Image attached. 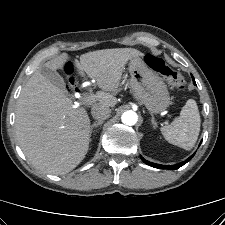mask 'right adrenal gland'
Instances as JSON below:
<instances>
[{"label": "right adrenal gland", "mask_w": 225, "mask_h": 225, "mask_svg": "<svg viewBox=\"0 0 225 225\" xmlns=\"http://www.w3.org/2000/svg\"><path fill=\"white\" fill-rule=\"evenodd\" d=\"M103 123V120H99V121H96L94 122L91 126H90V136L92 134V131L94 128H97L98 126L102 125Z\"/></svg>", "instance_id": "obj_1"}]
</instances>
